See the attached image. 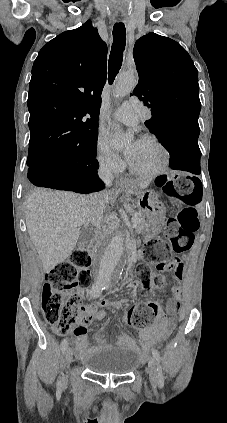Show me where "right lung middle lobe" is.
<instances>
[{
  "label": "right lung middle lobe",
  "instance_id": "1",
  "mask_svg": "<svg viewBox=\"0 0 227 423\" xmlns=\"http://www.w3.org/2000/svg\"><path fill=\"white\" fill-rule=\"evenodd\" d=\"M98 132L93 133L80 142L61 149L51 150L42 153L28 154L27 165L31 166L42 161L43 158L50 155L59 156L62 158L74 159L88 156H96Z\"/></svg>",
  "mask_w": 227,
  "mask_h": 423
}]
</instances>
